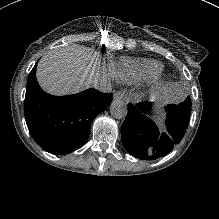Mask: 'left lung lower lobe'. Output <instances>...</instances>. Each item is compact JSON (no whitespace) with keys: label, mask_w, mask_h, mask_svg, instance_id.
I'll use <instances>...</instances> for the list:
<instances>
[{"label":"left lung lower lobe","mask_w":219,"mask_h":219,"mask_svg":"<svg viewBox=\"0 0 219 219\" xmlns=\"http://www.w3.org/2000/svg\"><path fill=\"white\" fill-rule=\"evenodd\" d=\"M150 103L128 104V114L121 126V139L125 149L135 157L154 160L167 155L180 142L189 124L191 111L177 105L169 106L167 129L157 128L145 114Z\"/></svg>","instance_id":"left-lung-lower-lobe-1"}]
</instances>
